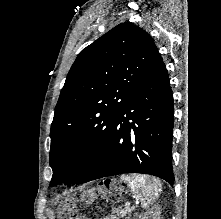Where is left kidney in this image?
Here are the masks:
<instances>
[{
	"label": "left kidney",
	"instance_id": "5707ae66",
	"mask_svg": "<svg viewBox=\"0 0 221 219\" xmlns=\"http://www.w3.org/2000/svg\"><path fill=\"white\" fill-rule=\"evenodd\" d=\"M159 214L160 211L156 209L155 212H149L144 215H140L138 219H159L158 218Z\"/></svg>",
	"mask_w": 221,
	"mask_h": 219
}]
</instances>
